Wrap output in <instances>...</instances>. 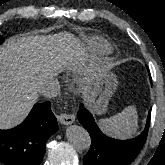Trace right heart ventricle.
<instances>
[{"label":"right heart ventricle","instance_id":"1","mask_svg":"<svg viewBox=\"0 0 165 165\" xmlns=\"http://www.w3.org/2000/svg\"><path fill=\"white\" fill-rule=\"evenodd\" d=\"M92 44L98 51H101V52H110L111 50L109 45L100 39H94L92 41Z\"/></svg>","mask_w":165,"mask_h":165}]
</instances>
